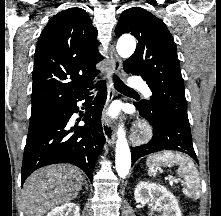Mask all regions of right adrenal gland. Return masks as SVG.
I'll return each instance as SVG.
<instances>
[{
  "label": "right adrenal gland",
  "mask_w": 221,
  "mask_h": 216,
  "mask_svg": "<svg viewBox=\"0 0 221 216\" xmlns=\"http://www.w3.org/2000/svg\"><path fill=\"white\" fill-rule=\"evenodd\" d=\"M84 185H85V189L88 190V185L86 182L84 183Z\"/></svg>",
  "instance_id": "2a0ac1e0"
}]
</instances>
